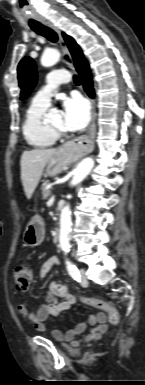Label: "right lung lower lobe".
I'll use <instances>...</instances> for the list:
<instances>
[{"label":"right lung lower lobe","instance_id":"1","mask_svg":"<svg viewBox=\"0 0 145 385\" xmlns=\"http://www.w3.org/2000/svg\"><path fill=\"white\" fill-rule=\"evenodd\" d=\"M77 71L82 77L85 91L88 93L90 97H93L94 96V90L92 88L93 82H92V76H91V72L88 64L82 65L79 69H77Z\"/></svg>","mask_w":145,"mask_h":385}]
</instances>
